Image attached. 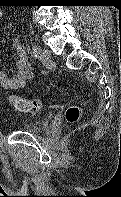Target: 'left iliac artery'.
<instances>
[{"instance_id":"44dca946","label":"left iliac artery","mask_w":121,"mask_h":197,"mask_svg":"<svg viewBox=\"0 0 121 197\" xmlns=\"http://www.w3.org/2000/svg\"><path fill=\"white\" fill-rule=\"evenodd\" d=\"M40 50H41L40 46H38V45H33V47H32V53L34 54L35 57L38 56Z\"/></svg>"}]
</instances>
